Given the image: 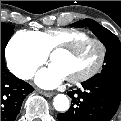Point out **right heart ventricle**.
I'll return each mask as SVG.
<instances>
[{
	"label": "right heart ventricle",
	"instance_id": "right-heart-ventricle-1",
	"mask_svg": "<svg viewBox=\"0 0 121 121\" xmlns=\"http://www.w3.org/2000/svg\"><path fill=\"white\" fill-rule=\"evenodd\" d=\"M20 33L33 38L41 51L45 54H48L58 45H70L87 37L83 32L64 29L30 30L21 31Z\"/></svg>",
	"mask_w": 121,
	"mask_h": 121
}]
</instances>
